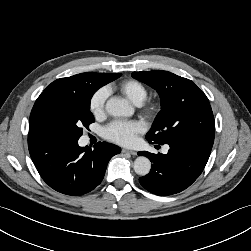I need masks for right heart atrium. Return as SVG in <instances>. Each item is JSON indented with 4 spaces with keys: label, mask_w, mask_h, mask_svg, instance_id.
I'll return each mask as SVG.
<instances>
[{
    "label": "right heart atrium",
    "mask_w": 251,
    "mask_h": 251,
    "mask_svg": "<svg viewBox=\"0 0 251 251\" xmlns=\"http://www.w3.org/2000/svg\"><path fill=\"white\" fill-rule=\"evenodd\" d=\"M108 95L109 92L106 87H101L92 94L89 101V109L95 117H100L104 114Z\"/></svg>",
    "instance_id": "right-heart-atrium-1"
}]
</instances>
